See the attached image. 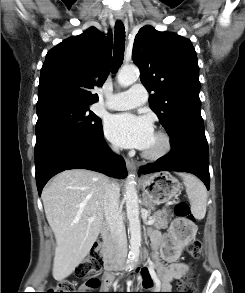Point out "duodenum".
<instances>
[{
    "label": "duodenum",
    "instance_id": "duodenum-1",
    "mask_svg": "<svg viewBox=\"0 0 245 293\" xmlns=\"http://www.w3.org/2000/svg\"><path fill=\"white\" fill-rule=\"evenodd\" d=\"M100 236L105 243V248L102 253L104 260V267L109 271H116L123 268L122 259L119 255H113L109 248L110 228L104 227L100 231ZM134 269H140L139 264L134 265Z\"/></svg>",
    "mask_w": 245,
    "mask_h": 293
}]
</instances>
